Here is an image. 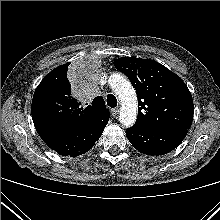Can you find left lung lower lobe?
Masks as SVG:
<instances>
[{"mask_svg":"<svg viewBox=\"0 0 220 220\" xmlns=\"http://www.w3.org/2000/svg\"><path fill=\"white\" fill-rule=\"evenodd\" d=\"M188 129L185 128H150L134 124L126 131L130 143L147 155H164L175 149L185 138Z\"/></svg>","mask_w":220,"mask_h":220,"instance_id":"1","label":"left lung lower lobe"}]
</instances>
